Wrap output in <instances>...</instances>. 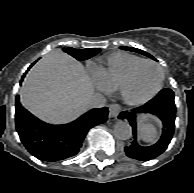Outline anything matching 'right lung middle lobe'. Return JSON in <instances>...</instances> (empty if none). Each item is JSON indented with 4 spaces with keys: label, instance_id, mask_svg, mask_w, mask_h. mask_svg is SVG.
Returning <instances> with one entry per match:
<instances>
[{
    "label": "right lung middle lobe",
    "instance_id": "right-lung-middle-lobe-1",
    "mask_svg": "<svg viewBox=\"0 0 194 193\" xmlns=\"http://www.w3.org/2000/svg\"><path fill=\"white\" fill-rule=\"evenodd\" d=\"M69 55L73 56L79 61L89 59L100 52L99 48H91V49H75L68 47L64 49Z\"/></svg>",
    "mask_w": 194,
    "mask_h": 193
}]
</instances>
